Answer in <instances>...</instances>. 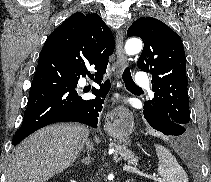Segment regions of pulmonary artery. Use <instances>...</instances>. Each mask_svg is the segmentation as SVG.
<instances>
[{"mask_svg": "<svg viewBox=\"0 0 211 182\" xmlns=\"http://www.w3.org/2000/svg\"><path fill=\"white\" fill-rule=\"evenodd\" d=\"M135 83L137 85H140V86H148V84H149V78H148V76L145 73L140 72L135 77Z\"/></svg>", "mask_w": 211, "mask_h": 182, "instance_id": "1", "label": "pulmonary artery"}]
</instances>
